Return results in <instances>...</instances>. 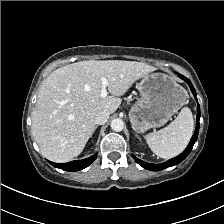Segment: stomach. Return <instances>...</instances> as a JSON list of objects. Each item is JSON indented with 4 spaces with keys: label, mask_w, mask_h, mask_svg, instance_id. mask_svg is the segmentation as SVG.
<instances>
[{
    "label": "stomach",
    "mask_w": 224,
    "mask_h": 224,
    "mask_svg": "<svg viewBox=\"0 0 224 224\" xmlns=\"http://www.w3.org/2000/svg\"><path fill=\"white\" fill-rule=\"evenodd\" d=\"M140 98L129 112L136 132L163 126L185 104L186 90L164 73H150L137 84Z\"/></svg>",
    "instance_id": "1"
}]
</instances>
